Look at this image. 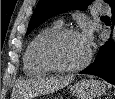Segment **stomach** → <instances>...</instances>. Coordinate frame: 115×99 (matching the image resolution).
I'll return each mask as SVG.
<instances>
[{
  "instance_id": "stomach-1",
  "label": "stomach",
  "mask_w": 115,
  "mask_h": 99,
  "mask_svg": "<svg viewBox=\"0 0 115 99\" xmlns=\"http://www.w3.org/2000/svg\"><path fill=\"white\" fill-rule=\"evenodd\" d=\"M70 91L78 99H93L105 92V85L98 80H81L70 86Z\"/></svg>"
}]
</instances>
